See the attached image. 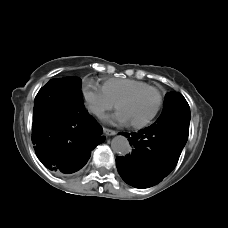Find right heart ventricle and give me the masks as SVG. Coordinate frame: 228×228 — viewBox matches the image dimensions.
<instances>
[{"instance_id": "1", "label": "right heart ventricle", "mask_w": 228, "mask_h": 228, "mask_svg": "<svg viewBox=\"0 0 228 228\" xmlns=\"http://www.w3.org/2000/svg\"><path fill=\"white\" fill-rule=\"evenodd\" d=\"M149 87V84L139 80L112 78L103 83L102 91L117 105L127 95Z\"/></svg>"}]
</instances>
